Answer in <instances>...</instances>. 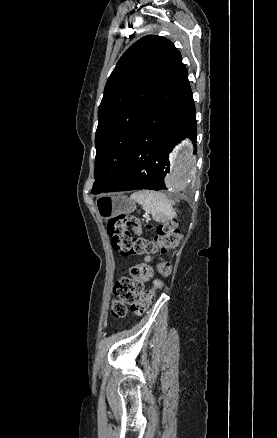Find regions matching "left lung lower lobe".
Masks as SVG:
<instances>
[{
    "mask_svg": "<svg viewBox=\"0 0 277 438\" xmlns=\"http://www.w3.org/2000/svg\"><path fill=\"white\" fill-rule=\"evenodd\" d=\"M185 137L195 146V114L180 112L164 100L149 98L140 112L128 160L103 192L165 189L169 153Z\"/></svg>",
    "mask_w": 277,
    "mask_h": 438,
    "instance_id": "0a47b994",
    "label": "left lung lower lobe"
}]
</instances>
